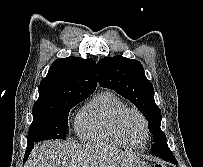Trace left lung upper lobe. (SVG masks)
<instances>
[{
    "label": "left lung upper lobe",
    "mask_w": 203,
    "mask_h": 167,
    "mask_svg": "<svg viewBox=\"0 0 203 167\" xmlns=\"http://www.w3.org/2000/svg\"><path fill=\"white\" fill-rule=\"evenodd\" d=\"M97 68L100 85L128 99L148 120L149 131L155 139L152 150L155 145L167 144L160 128L162 116L154 100L153 85L146 78L142 64L138 60L114 56L100 59Z\"/></svg>",
    "instance_id": "1"
}]
</instances>
